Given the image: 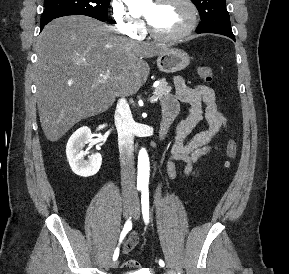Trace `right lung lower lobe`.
<instances>
[{"instance_id":"obj_1","label":"right lung lower lobe","mask_w":289,"mask_h":274,"mask_svg":"<svg viewBox=\"0 0 289 274\" xmlns=\"http://www.w3.org/2000/svg\"><path fill=\"white\" fill-rule=\"evenodd\" d=\"M51 20H53V19H50V20H46V21L41 22V24H40V31H42L43 27H44L47 23H49Z\"/></svg>"}]
</instances>
